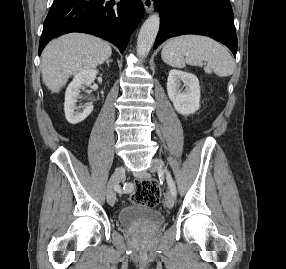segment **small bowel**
Here are the masks:
<instances>
[{
    "label": "small bowel",
    "instance_id": "obj_1",
    "mask_svg": "<svg viewBox=\"0 0 286 269\" xmlns=\"http://www.w3.org/2000/svg\"><path fill=\"white\" fill-rule=\"evenodd\" d=\"M131 189H132V186L129 185V186L126 188V191H125V192H129V191H131Z\"/></svg>",
    "mask_w": 286,
    "mask_h": 269
}]
</instances>
